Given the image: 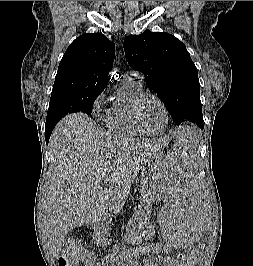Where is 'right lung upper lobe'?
<instances>
[{"label": "right lung upper lobe", "mask_w": 253, "mask_h": 266, "mask_svg": "<svg viewBox=\"0 0 253 266\" xmlns=\"http://www.w3.org/2000/svg\"><path fill=\"white\" fill-rule=\"evenodd\" d=\"M114 57L115 45L103 34L81 35L61 59L51 98L103 91Z\"/></svg>", "instance_id": "obj_1"}]
</instances>
